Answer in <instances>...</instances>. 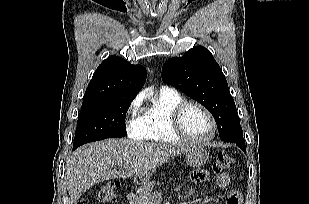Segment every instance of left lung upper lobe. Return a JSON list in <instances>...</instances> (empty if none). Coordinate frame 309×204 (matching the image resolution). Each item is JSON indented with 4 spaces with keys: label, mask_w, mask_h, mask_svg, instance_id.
Returning <instances> with one entry per match:
<instances>
[{
    "label": "left lung upper lobe",
    "mask_w": 309,
    "mask_h": 204,
    "mask_svg": "<svg viewBox=\"0 0 309 204\" xmlns=\"http://www.w3.org/2000/svg\"><path fill=\"white\" fill-rule=\"evenodd\" d=\"M162 80L206 107L217 123L224 142L243 139V132L233 97L225 76L205 47L196 46L182 57L167 60Z\"/></svg>",
    "instance_id": "left-lung-upper-lobe-1"
}]
</instances>
